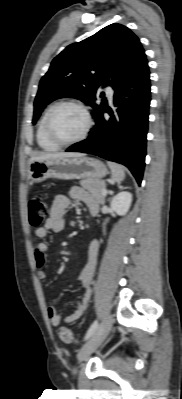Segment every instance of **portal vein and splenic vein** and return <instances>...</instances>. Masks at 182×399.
I'll list each match as a JSON object with an SVG mask.
<instances>
[{
    "label": "portal vein and splenic vein",
    "instance_id": "1",
    "mask_svg": "<svg viewBox=\"0 0 182 399\" xmlns=\"http://www.w3.org/2000/svg\"><path fill=\"white\" fill-rule=\"evenodd\" d=\"M102 194H103V195H106V194H107V191H106V190H103V191H102Z\"/></svg>",
    "mask_w": 182,
    "mask_h": 399
}]
</instances>
